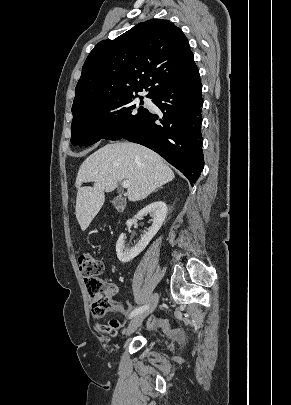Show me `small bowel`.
Listing matches in <instances>:
<instances>
[{
    "mask_svg": "<svg viewBox=\"0 0 291 405\" xmlns=\"http://www.w3.org/2000/svg\"><path fill=\"white\" fill-rule=\"evenodd\" d=\"M117 293L118 287L115 284H111L109 290V296L111 299L110 310L112 312H119L124 316H127L130 313V310L116 298ZM95 318H96V326L99 332L105 333L112 337L118 334L121 328V324L119 321L112 319L107 324H103L99 316H96ZM155 324H156L155 320L153 318L150 319L147 323V329H152L155 326Z\"/></svg>",
    "mask_w": 291,
    "mask_h": 405,
    "instance_id": "c3829d8e",
    "label": "small bowel"
}]
</instances>
